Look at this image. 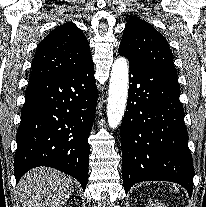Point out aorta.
Wrapping results in <instances>:
<instances>
[{"mask_svg": "<svg viewBox=\"0 0 206 207\" xmlns=\"http://www.w3.org/2000/svg\"><path fill=\"white\" fill-rule=\"evenodd\" d=\"M128 94V64L124 57L116 59L112 66L107 105L108 124L118 127L124 116Z\"/></svg>", "mask_w": 206, "mask_h": 207, "instance_id": "obj_1", "label": "aorta"}]
</instances>
